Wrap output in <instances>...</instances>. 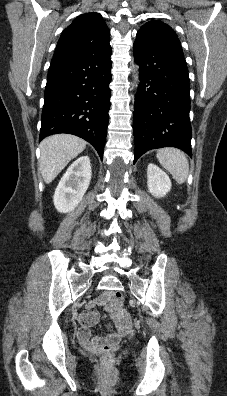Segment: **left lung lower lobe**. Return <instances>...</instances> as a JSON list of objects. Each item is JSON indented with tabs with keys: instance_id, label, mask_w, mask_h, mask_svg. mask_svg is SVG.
<instances>
[{
	"instance_id": "obj_1",
	"label": "left lung lower lobe",
	"mask_w": 227,
	"mask_h": 396,
	"mask_svg": "<svg viewBox=\"0 0 227 396\" xmlns=\"http://www.w3.org/2000/svg\"><path fill=\"white\" fill-rule=\"evenodd\" d=\"M133 53L141 81L134 104V163L161 147L191 156L189 75L182 50L136 38Z\"/></svg>"
}]
</instances>
